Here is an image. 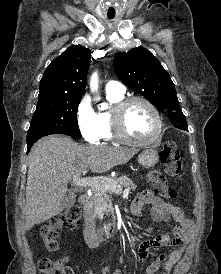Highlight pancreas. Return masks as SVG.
Listing matches in <instances>:
<instances>
[{"mask_svg":"<svg viewBox=\"0 0 221 274\" xmlns=\"http://www.w3.org/2000/svg\"><path fill=\"white\" fill-rule=\"evenodd\" d=\"M110 183H114L117 186H124L129 191H134L137 186L134 182L126 176H121L117 179H110ZM112 190L105 187L93 188L92 196L89 199V203L85 208L86 212H89L94 217L103 218V215L112 209V202L110 194Z\"/></svg>","mask_w":221,"mask_h":274,"instance_id":"cf45deb5","label":"pancreas"}]
</instances>
